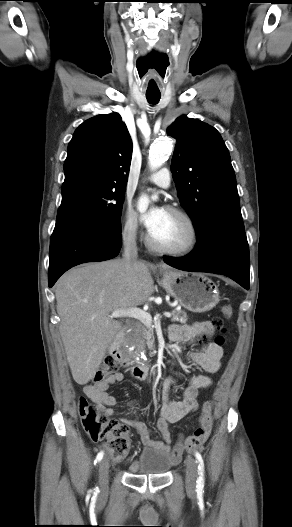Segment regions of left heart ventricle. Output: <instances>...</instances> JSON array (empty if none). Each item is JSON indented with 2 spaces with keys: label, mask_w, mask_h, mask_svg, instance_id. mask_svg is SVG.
<instances>
[{
  "label": "left heart ventricle",
  "mask_w": 292,
  "mask_h": 527,
  "mask_svg": "<svg viewBox=\"0 0 292 527\" xmlns=\"http://www.w3.org/2000/svg\"><path fill=\"white\" fill-rule=\"evenodd\" d=\"M150 235L158 244L175 247L187 241L189 231L181 218L165 211L160 224Z\"/></svg>",
  "instance_id": "1"
}]
</instances>
